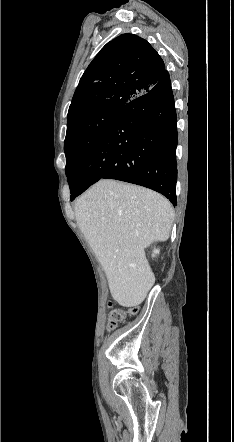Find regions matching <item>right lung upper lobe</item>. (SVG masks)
I'll return each instance as SVG.
<instances>
[{"instance_id": "obj_1", "label": "right lung upper lobe", "mask_w": 234, "mask_h": 442, "mask_svg": "<svg viewBox=\"0 0 234 442\" xmlns=\"http://www.w3.org/2000/svg\"><path fill=\"white\" fill-rule=\"evenodd\" d=\"M166 72L144 39L122 34L107 43L84 72L74 93L68 123L87 114L121 108L148 92Z\"/></svg>"}]
</instances>
